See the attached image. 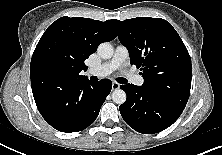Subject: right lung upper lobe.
<instances>
[{
	"label": "right lung upper lobe",
	"instance_id": "cb5924a9",
	"mask_svg": "<svg viewBox=\"0 0 222 155\" xmlns=\"http://www.w3.org/2000/svg\"><path fill=\"white\" fill-rule=\"evenodd\" d=\"M117 36L112 20L105 22L61 17L53 22L40 38L31 59L32 89L67 84L86 78L84 61L100 43Z\"/></svg>",
	"mask_w": 222,
	"mask_h": 155
}]
</instances>
